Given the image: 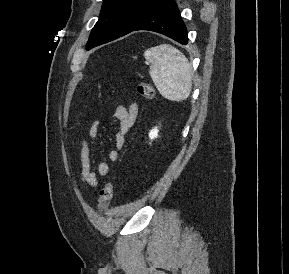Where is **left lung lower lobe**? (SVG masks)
<instances>
[{"instance_id":"1","label":"left lung lower lobe","mask_w":289,"mask_h":274,"mask_svg":"<svg viewBox=\"0 0 289 274\" xmlns=\"http://www.w3.org/2000/svg\"><path fill=\"white\" fill-rule=\"evenodd\" d=\"M148 30L163 34L180 44L188 43L187 29L180 16L175 0H168L156 9L133 31Z\"/></svg>"}]
</instances>
